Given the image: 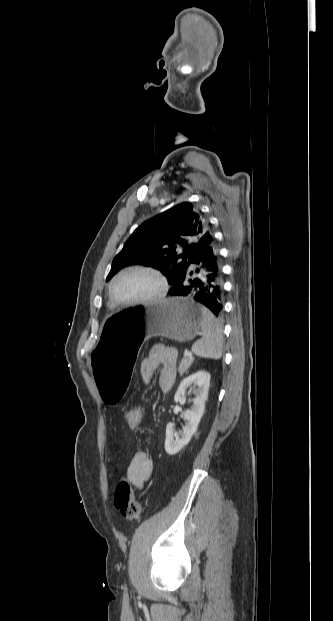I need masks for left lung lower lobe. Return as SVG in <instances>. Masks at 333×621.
Wrapping results in <instances>:
<instances>
[{
	"instance_id": "left-lung-lower-lobe-1",
	"label": "left lung lower lobe",
	"mask_w": 333,
	"mask_h": 621,
	"mask_svg": "<svg viewBox=\"0 0 333 621\" xmlns=\"http://www.w3.org/2000/svg\"><path fill=\"white\" fill-rule=\"evenodd\" d=\"M222 284L219 250L208 230L196 243L184 270L168 295L192 298L219 316L223 310Z\"/></svg>"
}]
</instances>
